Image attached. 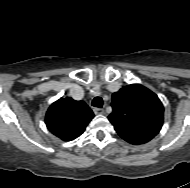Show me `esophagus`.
<instances>
[{
    "label": "esophagus",
    "instance_id": "esophagus-1",
    "mask_svg": "<svg viewBox=\"0 0 190 188\" xmlns=\"http://www.w3.org/2000/svg\"><path fill=\"white\" fill-rule=\"evenodd\" d=\"M93 111L96 115H101L105 113L104 109L102 108H94Z\"/></svg>",
    "mask_w": 190,
    "mask_h": 188
}]
</instances>
